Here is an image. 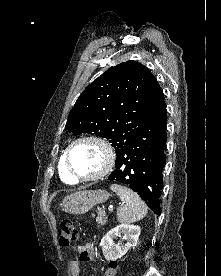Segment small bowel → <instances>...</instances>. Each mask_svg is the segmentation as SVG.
Returning <instances> with one entry per match:
<instances>
[{
	"instance_id": "small-bowel-1",
	"label": "small bowel",
	"mask_w": 221,
	"mask_h": 276,
	"mask_svg": "<svg viewBox=\"0 0 221 276\" xmlns=\"http://www.w3.org/2000/svg\"><path fill=\"white\" fill-rule=\"evenodd\" d=\"M79 260H74L70 263V271L72 276H80L81 270L79 262L93 261L95 258L94 249L92 244L85 243L78 246Z\"/></svg>"
}]
</instances>
